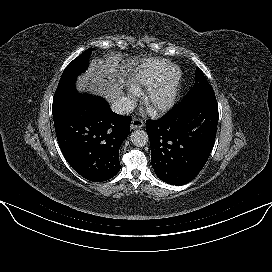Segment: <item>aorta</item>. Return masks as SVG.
I'll return each instance as SVG.
<instances>
[{
	"instance_id": "aorta-1",
	"label": "aorta",
	"mask_w": 272,
	"mask_h": 272,
	"mask_svg": "<svg viewBox=\"0 0 272 272\" xmlns=\"http://www.w3.org/2000/svg\"><path fill=\"white\" fill-rule=\"evenodd\" d=\"M130 139L133 145L137 147H143L149 141L148 135L144 130H135L131 133Z\"/></svg>"
}]
</instances>
